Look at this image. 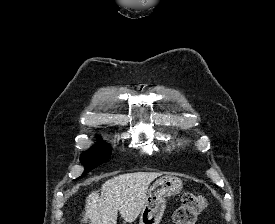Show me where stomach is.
<instances>
[{
  "mask_svg": "<svg viewBox=\"0 0 275 224\" xmlns=\"http://www.w3.org/2000/svg\"><path fill=\"white\" fill-rule=\"evenodd\" d=\"M183 187L176 176L166 175L156 180L150 187L139 224H159L165 211L166 197L177 195Z\"/></svg>",
  "mask_w": 275,
  "mask_h": 224,
  "instance_id": "stomach-1",
  "label": "stomach"
}]
</instances>
